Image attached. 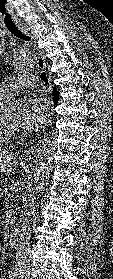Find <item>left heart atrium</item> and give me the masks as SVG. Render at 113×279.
I'll return each mask as SVG.
<instances>
[{
  "label": "left heart atrium",
  "instance_id": "1",
  "mask_svg": "<svg viewBox=\"0 0 113 279\" xmlns=\"http://www.w3.org/2000/svg\"><path fill=\"white\" fill-rule=\"evenodd\" d=\"M50 114V101L45 97L34 96L24 108L21 125L28 131H37L47 124Z\"/></svg>",
  "mask_w": 113,
  "mask_h": 279
}]
</instances>
